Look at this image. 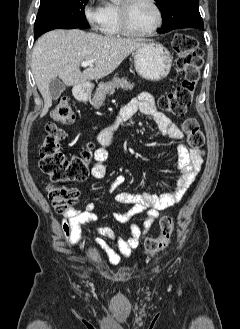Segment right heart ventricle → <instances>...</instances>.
I'll return each mask as SVG.
<instances>
[{
	"label": "right heart ventricle",
	"mask_w": 240,
	"mask_h": 329,
	"mask_svg": "<svg viewBox=\"0 0 240 329\" xmlns=\"http://www.w3.org/2000/svg\"><path fill=\"white\" fill-rule=\"evenodd\" d=\"M118 3L108 2L104 6V20L100 27L102 33L108 37L124 35L121 30Z\"/></svg>",
	"instance_id": "right-heart-ventricle-1"
}]
</instances>
